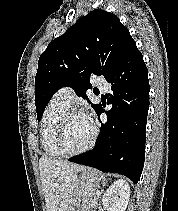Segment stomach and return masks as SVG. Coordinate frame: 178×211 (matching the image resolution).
<instances>
[{
	"label": "stomach",
	"instance_id": "1",
	"mask_svg": "<svg viewBox=\"0 0 178 211\" xmlns=\"http://www.w3.org/2000/svg\"><path fill=\"white\" fill-rule=\"evenodd\" d=\"M100 180V173L91 168H85L79 178L74 191L71 194L68 211H76L82 202L84 194L92 189H97Z\"/></svg>",
	"mask_w": 178,
	"mask_h": 211
}]
</instances>
